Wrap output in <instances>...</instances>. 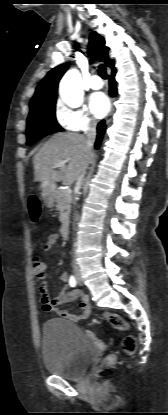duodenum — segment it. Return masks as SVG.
Masks as SVG:
<instances>
[{
    "label": "duodenum",
    "mask_w": 168,
    "mask_h": 415,
    "mask_svg": "<svg viewBox=\"0 0 168 415\" xmlns=\"http://www.w3.org/2000/svg\"><path fill=\"white\" fill-rule=\"evenodd\" d=\"M60 234L62 237H66L68 235V225L67 224H63L60 227Z\"/></svg>",
    "instance_id": "1"
}]
</instances>
